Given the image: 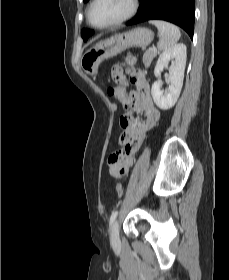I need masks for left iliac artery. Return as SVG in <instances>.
I'll return each instance as SVG.
<instances>
[{
	"label": "left iliac artery",
	"instance_id": "44dca946",
	"mask_svg": "<svg viewBox=\"0 0 229 280\" xmlns=\"http://www.w3.org/2000/svg\"><path fill=\"white\" fill-rule=\"evenodd\" d=\"M117 214H118V211H117V210H115V211L112 212V214H111V216H110V222H109L110 226L112 225V223H113L114 220L116 219Z\"/></svg>",
	"mask_w": 229,
	"mask_h": 280
}]
</instances>
